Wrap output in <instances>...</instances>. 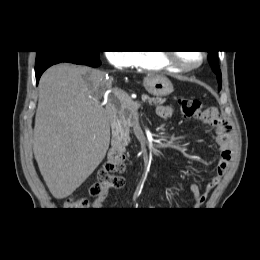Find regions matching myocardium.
<instances>
[{"mask_svg": "<svg viewBox=\"0 0 260 260\" xmlns=\"http://www.w3.org/2000/svg\"><path fill=\"white\" fill-rule=\"evenodd\" d=\"M200 59L198 62L194 64H184L178 60L177 54L173 51H164L162 52V56L164 59L174 68L181 71H191L197 67H199L205 60L206 54L203 51H200Z\"/></svg>", "mask_w": 260, "mask_h": 260, "instance_id": "myocardium-1", "label": "myocardium"}]
</instances>
